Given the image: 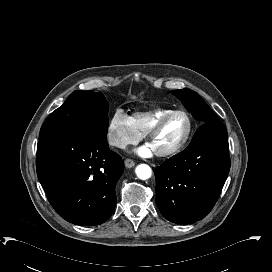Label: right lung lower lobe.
Returning a JSON list of instances; mask_svg holds the SVG:
<instances>
[{
    "instance_id": "98d812e1",
    "label": "right lung lower lobe",
    "mask_w": 272,
    "mask_h": 272,
    "mask_svg": "<svg viewBox=\"0 0 272 272\" xmlns=\"http://www.w3.org/2000/svg\"><path fill=\"white\" fill-rule=\"evenodd\" d=\"M36 169L50 204L65 220L92 226L111 216L124 163L109 149L107 134L86 129L48 134L38 142Z\"/></svg>"
}]
</instances>
